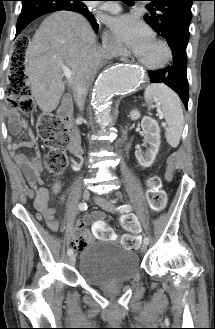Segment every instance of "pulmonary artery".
I'll use <instances>...</instances> for the list:
<instances>
[{
  "instance_id": "pulmonary-artery-1",
  "label": "pulmonary artery",
  "mask_w": 215,
  "mask_h": 329,
  "mask_svg": "<svg viewBox=\"0 0 215 329\" xmlns=\"http://www.w3.org/2000/svg\"><path fill=\"white\" fill-rule=\"evenodd\" d=\"M96 7H98L99 9H101L102 11H106L109 13H119L121 11V8L118 4H112V3H104L101 5H95Z\"/></svg>"
}]
</instances>
